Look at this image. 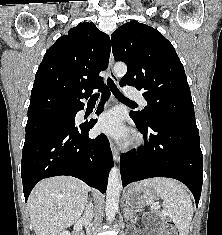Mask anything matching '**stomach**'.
I'll return each instance as SVG.
<instances>
[{
  "mask_svg": "<svg viewBox=\"0 0 222 235\" xmlns=\"http://www.w3.org/2000/svg\"><path fill=\"white\" fill-rule=\"evenodd\" d=\"M156 193L151 189L139 188L138 184L130 186L126 192V203L132 209L140 208L152 203L156 199Z\"/></svg>",
  "mask_w": 222,
  "mask_h": 235,
  "instance_id": "0dacf381",
  "label": "stomach"
}]
</instances>
